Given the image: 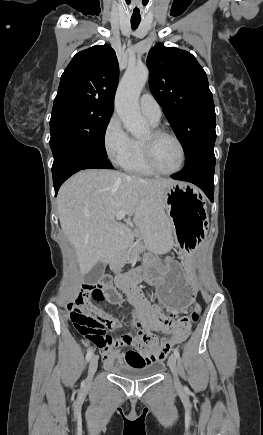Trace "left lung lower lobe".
I'll return each mask as SVG.
<instances>
[{"label": "left lung lower lobe", "instance_id": "1", "mask_svg": "<svg viewBox=\"0 0 263 435\" xmlns=\"http://www.w3.org/2000/svg\"><path fill=\"white\" fill-rule=\"evenodd\" d=\"M214 169L215 155L214 148H207L200 151L185 163L182 173L172 176L173 179L188 181L203 190L211 202L214 192Z\"/></svg>", "mask_w": 263, "mask_h": 435}]
</instances>
